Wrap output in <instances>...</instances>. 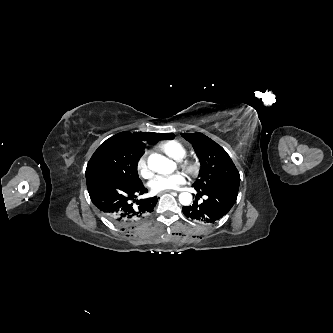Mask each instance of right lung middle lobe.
<instances>
[{
	"instance_id": "obj_1",
	"label": "right lung middle lobe",
	"mask_w": 333,
	"mask_h": 333,
	"mask_svg": "<svg viewBox=\"0 0 333 333\" xmlns=\"http://www.w3.org/2000/svg\"><path fill=\"white\" fill-rule=\"evenodd\" d=\"M159 138H174L173 133H158ZM139 158L133 157L128 144L119 134L107 139L94 152L86 168V175L103 172L123 178L132 183H139L137 163Z\"/></svg>"
}]
</instances>
